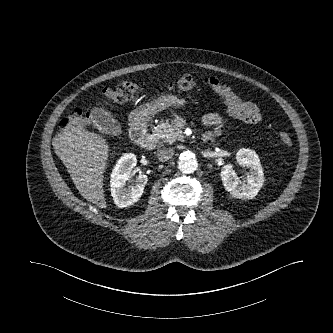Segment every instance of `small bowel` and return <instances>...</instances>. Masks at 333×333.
Wrapping results in <instances>:
<instances>
[{"mask_svg":"<svg viewBox=\"0 0 333 333\" xmlns=\"http://www.w3.org/2000/svg\"><path fill=\"white\" fill-rule=\"evenodd\" d=\"M205 84L225 99L229 112L236 119L252 123L261 119V113L255 103L242 100L214 78L206 79ZM203 121L206 125L215 127L216 132L222 124V119L217 114H207Z\"/></svg>","mask_w":333,"mask_h":333,"instance_id":"small-bowel-1","label":"small bowel"}]
</instances>
